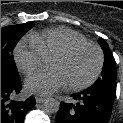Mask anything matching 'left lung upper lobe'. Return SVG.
<instances>
[{"label":"left lung upper lobe","mask_w":123,"mask_h":123,"mask_svg":"<svg viewBox=\"0 0 123 123\" xmlns=\"http://www.w3.org/2000/svg\"><path fill=\"white\" fill-rule=\"evenodd\" d=\"M104 52V66L102 69L101 77L89 87L90 89L107 90L111 92L116 91V65L112 52L105 40L100 38L98 40Z\"/></svg>","instance_id":"obj_1"}]
</instances>
